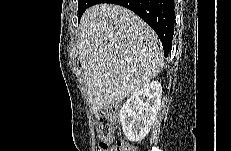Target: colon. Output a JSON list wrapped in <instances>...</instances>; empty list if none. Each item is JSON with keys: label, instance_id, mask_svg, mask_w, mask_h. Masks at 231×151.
Returning <instances> with one entry per match:
<instances>
[{"label": "colon", "instance_id": "colon-1", "mask_svg": "<svg viewBox=\"0 0 231 151\" xmlns=\"http://www.w3.org/2000/svg\"><path fill=\"white\" fill-rule=\"evenodd\" d=\"M117 111L114 108L100 110L96 113V128L101 139L97 151H134L132 145L124 140L111 144Z\"/></svg>", "mask_w": 231, "mask_h": 151}]
</instances>
